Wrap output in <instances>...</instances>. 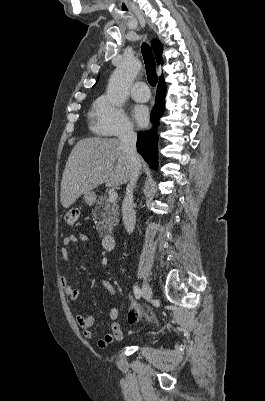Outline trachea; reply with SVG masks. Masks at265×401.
Returning a JSON list of instances; mask_svg holds the SVG:
<instances>
[{"label":"trachea","instance_id":"obj_1","mask_svg":"<svg viewBox=\"0 0 265 401\" xmlns=\"http://www.w3.org/2000/svg\"><path fill=\"white\" fill-rule=\"evenodd\" d=\"M142 55L145 61L146 74L148 82L152 87L156 86L158 77L156 75V62L152 50L147 43L142 45Z\"/></svg>","mask_w":265,"mask_h":401}]
</instances>
